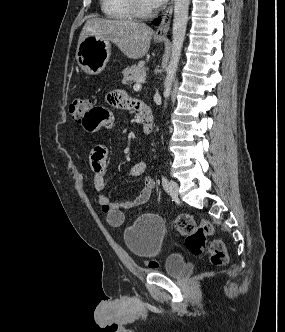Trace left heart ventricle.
<instances>
[{
  "mask_svg": "<svg viewBox=\"0 0 285 332\" xmlns=\"http://www.w3.org/2000/svg\"><path fill=\"white\" fill-rule=\"evenodd\" d=\"M142 1H143V3H144L145 5H147V6H151L148 0H142Z\"/></svg>",
  "mask_w": 285,
  "mask_h": 332,
  "instance_id": "left-heart-ventricle-1",
  "label": "left heart ventricle"
}]
</instances>
